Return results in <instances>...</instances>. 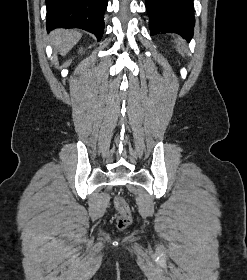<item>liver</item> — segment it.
Masks as SVG:
<instances>
[{"label":"liver","instance_id":"6515ba94","mask_svg":"<svg viewBox=\"0 0 247 280\" xmlns=\"http://www.w3.org/2000/svg\"><path fill=\"white\" fill-rule=\"evenodd\" d=\"M82 34L78 31L57 29L50 34L52 44L61 55H66L80 40Z\"/></svg>","mask_w":247,"mask_h":280}]
</instances>
